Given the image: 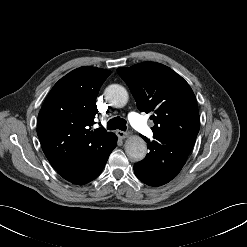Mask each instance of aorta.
<instances>
[{
    "label": "aorta",
    "instance_id": "762f6f07",
    "mask_svg": "<svg viewBox=\"0 0 247 247\" xmlns=\"http://www.w3.org/2000/svg\"><path fill=\"white\" fill-rule=\"evenodd\" d=\"M105 98L111 106L122 108L128 102V92L123 86L112 84L106 88ZM124 146L127 156L133 161H140L147 154L146 142L139 136L128 138Z\"/></svg>",
    "mask_w": 247,
    "mask_h": 247
}]
</instances>
